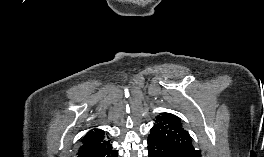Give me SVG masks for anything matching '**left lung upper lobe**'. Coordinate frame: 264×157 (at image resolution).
<instances>
[{
	"instance_id": "5c2ea615",
	"label": "left lung upper lobe",
	"mask_w": 264,
	"mask_h": 157,
	"mask_svg": "<svg viewBox=\"0 0 264 157\" xmlns=\"http://www.w3.org/2000/svg\"><path fill=\"white\" fill-rule=\"evenodd\" d=\"M155 122L148 139L163 143L172 150L175 157H201V151L194 149L180 118L171 113H161Z\"/></svg>"
}]
</instances>
